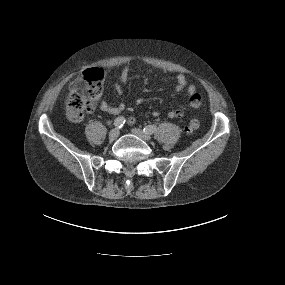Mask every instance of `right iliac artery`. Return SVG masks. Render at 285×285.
<instances>
[{"label": "right iliac artery", "mask_w": 285, "mask_h": 285, "mask_svg": "<svg viewBox=\"0 0 285 285\" xmlns=\"http://www.w3.org/2000/svg\"><path fill=\"white\" fill-rule=\"evenodd\" d=\"M125 118L124 117H117L115 120H114V126L117 127V128H121L124 123H125Z\"/></svg>", "instance_id": "right-iliac-artery-1"}]
</instances>
